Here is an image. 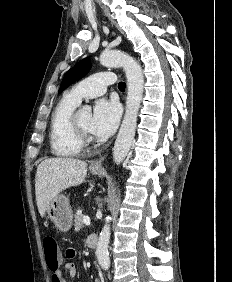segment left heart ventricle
I'll use <instances>...</instances> for the list:
<instances>
[{
  "label": "left heart ventricle",
  "instance_id": "obj_1",
  "mask_svg": "<svg viewBox=\"0 0 232 282\" xmlns=\"http://www.w3.org/2000/svg\"><path fill=\"white\" fill-rule=\"evenodd\" d=\"M80 125L90 132L91 114L86 111H79L77 114Z\"/></svg>",
  "mask_w": 232,
  "mask_h": 282
}]
</instances>
